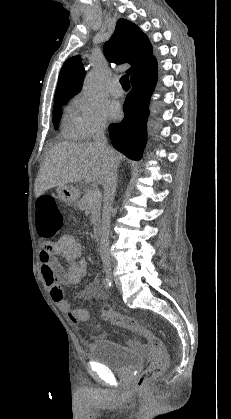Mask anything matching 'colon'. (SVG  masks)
I'll return each instance as SVG.
<instances>
[{"label": "colon", "mask_w": 231, "mask_h": 419, "mask_svg": "<svg viewBox=\"0 0 231 419\" xmlns=\"http://www.w3.org/2000/svg\"><path fill=\"white\" fill-rule=\"evenodd\" d=\"M63 217L58 207L56 199L51 195H42L37 201L36 226L41 238L52 239L61 230ZM102 318L111 324L137 332L148 342L152 360L150 365L141 373L138 379L140 388L148 387L154 379L163 374L168 365V357L161 339L145 326L139 324L134 318L111 311L108 307L102 309ZM69 317L74 323L79 319L69 313Z\"/></svg>", "instance_id": "colon-1"}]
</instances>
